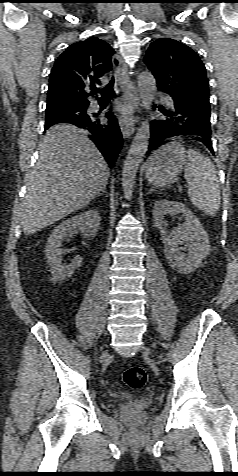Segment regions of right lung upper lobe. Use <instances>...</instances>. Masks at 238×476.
Masks as SVG:
<instances>
[{"label": "right lung upper lobe", "mask_w": 238, "mask_h": 476, "mask_svg": "<svg viewBox=\"0 0 238 476\" xmlns=\"http://www.w3.org/2000/svg\"><path fill=\"white\" fill-rule=\"evenodd\" d=\"M113 54L112 47L96 37L70 45L51 70L47 105L88 107L87 97L97 89L99 79L111 71Z\"/></svg>", "instance_id": "obj_1"}]
</instances>
